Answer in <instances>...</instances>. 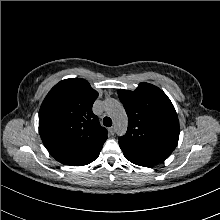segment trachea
I'll return each instance as SVG.
<instances>
[{
    "label": "trachea",
    "mask_w": 220,
    "mask_h": 220,
    "mask_svg": "<svg viewBox=\"0 0 220 220\" xmlns=\"http://www.w3.org/2000/svg\"><path fill=\"white\" fill-rule=\"evenodd\" d=\"M103 125L106 127H110L112 125V120L109 117H104L103 119Z\"/></svg>",
    "instance_id": "obj_1"
}]
</instances>
